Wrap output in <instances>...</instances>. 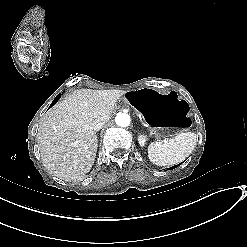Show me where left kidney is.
Here are the masks:
<instances>
[{
    "label": "left kidney",
    "instance_id": "left-kidney-1",
    "mask_svg": "<svg viewBox=\"0 0 247 247\" xmlns=\"http://www.w3.org/2000/svg\"><path fill=\"white\" fill-rule=\"evenodd\" d=\"M145 141V138L144 137H139V142H140V144L142 145L143 144V142Z\"/></svg>",
    "mask_w": 247,
    "mask_h": 247
}]
</instances>
